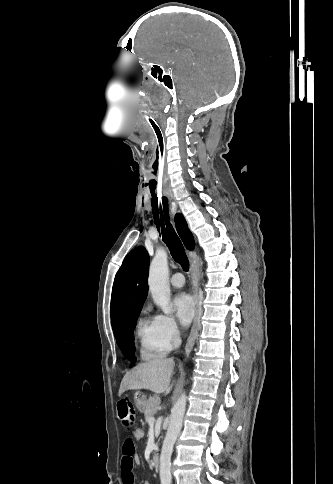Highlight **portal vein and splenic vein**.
<instances>
[{
	"label": "portal vein and splenic vein",
	"mask_w": 333,
	"mask_h": 484,
	"mask_svg": "<svg viewBox=\"0 0 333 484\" xmlns=\"http://www.w3.org/2000/svg\"><path fill=\"white\" fill-rule=\"evenodd\" d=\"M154 423H155V418H154V417L149 418V420H148V424H149L150 426H153V425H154Z\"/></svg>",
	"instance_id": "18ae733b"
}]
</instances>
